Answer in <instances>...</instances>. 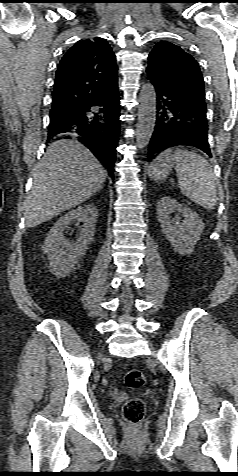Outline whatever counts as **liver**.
Returning <instances> with one entry per match:
<instances>
[{
    "mask_svg": "<svg viewBox=\"0 0 238 476\" xmlns=\"http://www.w3.org/2000/svg\"><path fill=\"white\" fill-rule=\"evenodd\" d=\"M26 197V225L35 227L89 199L104 184L107 171L74 140L52 143L33 172Z\"/></svg>",
    "mask_w": 238,
    "mask_h": 476,
    "instance_id": "obj_1",
    "label": "liver"
}]
</instances>
